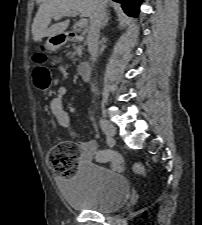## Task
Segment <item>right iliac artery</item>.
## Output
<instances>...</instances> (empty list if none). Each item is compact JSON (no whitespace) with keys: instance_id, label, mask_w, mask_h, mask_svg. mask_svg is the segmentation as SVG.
<instances>
[{"instance_id":"obj_1","label":"right iliac artery","mask_w":202,"mask_h":225,"mask_svg":"<svg viewBox=\"0 0 202 225\" xmlns=\"http://www.w3.org/2000/svg\"><path fill=\"white\" fill-rule=\"evenodd\" d=\"M113 140L112 139H110V138H107L106 139V143L109 145V146H113Z\"/></svg>"}]
</instances>
